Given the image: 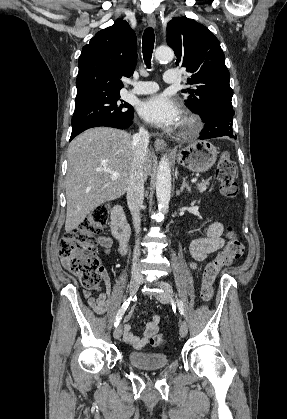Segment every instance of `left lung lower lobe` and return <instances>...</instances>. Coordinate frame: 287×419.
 Listing matches in <instances>:
<instances>
[{
	"label": "left lung lower lobe",
	"instance_id": "0a47b994",
	"mask_svg": "<svg viewBox=\"0 0 287 419\" xmlns=\"http://www.w3.org/2000/svg\"><path fill=\"white\" fill-rule=\"evenodd\" d=\"M234 110L231 102H219L208 108L205 116H201L204 128L199 139L229 136L236 139L232 130Z\"/></svg>",
	"mask_w": 287,
	"mask_h": 419
}]
</instances>
